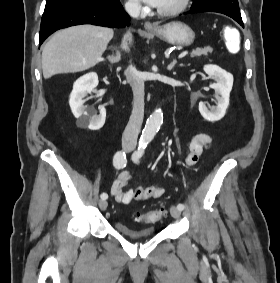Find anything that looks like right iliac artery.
Segmentation results:
<instances>
[{
	"label": "right iliac artery",
	"mask_w": 280,
	"mask_h": 283,
	"mask_svg": "<svg viewBox=\"0 0 280 283\" xmlns=\"http://www.w3.org/2000/svg\"><path fill=\"white\" fill-rule=\"evenodd\" d=\"M126 153L124 151H118L115 153L113 158V165L117 169H123L126 166ZM101 199L106 200L108 198V194L103 192L100 195Z\"/></svg>",
	"instance_id": "obj_1"
}]
</instances>
